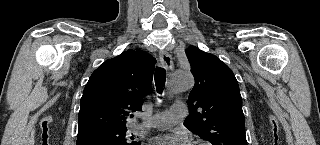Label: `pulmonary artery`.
Here are the masks:
<instances>
[{
	"mask_svg": "<svg viewBox=\"0 0 320 145\" xmlns=\"http://www.w3.org/2000/svg\"><path fill=\"white\" fill-rule=\"evenodd\" d=\"M185 114L186 105L184 103H174L168 111L150 117L143 127L165 128L182 120Z\"/></svg>",
	"mask_w": 320,
	"mask_h": 145,
	"instance_id": "pulmonary-artery-1",
	"label": "pulmonary artery"
}]
</instances>
